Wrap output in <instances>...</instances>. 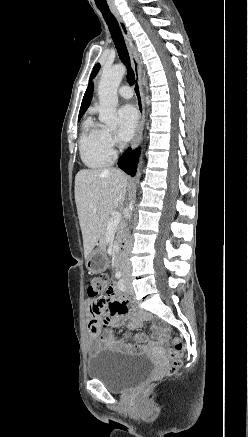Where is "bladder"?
Segmentation results:
<instances>
[{
  "instance_id": "31cf9c89",
  "label": "bladder",
  "mask_w": 248,
  "mask_h": 437,
  "mask_svg": "<svg viewBox=\"0 0 248 437\" xmlns=\"http://www.w3.org/2000/svg\"><path fill=\"white\" fill-rule=\"evenodd\" d=\"M156 371V364L145 355L122 354L102 350L88 362L87 375L90 379L104 383L114 392L145 381Z\"/></svg>"
}]
</instances>
